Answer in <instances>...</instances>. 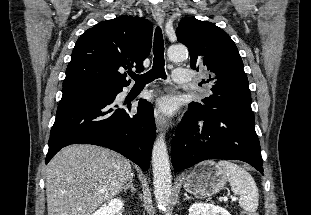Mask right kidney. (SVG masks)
<instances>
[{
    "instance_id": "1",
    "label": "right kidney",
    "mask_w": 311,
    "mask_h": 215,
    "mask_svg": "<svg viewBox=\"0 0 311 215\" xmlns=\"http://www.w3.org/2000/svg\"><path fill=\"white\" fill-rule=\"evenodd\" d=\"M124 203L121 199L114 198L109 200L107 204L102 205L95 213L92 215H118L122 210Z\"/></svg>"
}]
</instances>
